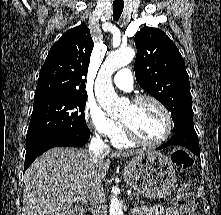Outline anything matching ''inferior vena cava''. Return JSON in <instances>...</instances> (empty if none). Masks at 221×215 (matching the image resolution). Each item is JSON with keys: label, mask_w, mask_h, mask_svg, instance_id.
<instances>
[{"label": "inferior vena cava", "mask_w": 221, "mask_h": 215, "mask_svg": "<svg viewBox=\"0 0 221 215\" xmlns=\"http://www.w3.org/2000/svg\"><path fill=\"white\" fill-rule=\"evenodd\" d=\"M88 151L89 154H91L95 158H100L110 151V147L106 145L98 135H96L91 139ZM89 201L92 208V215H106L105 207L102 203L100 192L90 197Z\"/></svg>", "instance_id": "602c4592"}]
</instances>
